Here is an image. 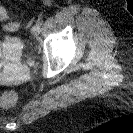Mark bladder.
<instances>
[{
	"label": "bladder",
	"mask_w": 133,
	"mask_h": 133,
	"mask_svg": "<svg viewBox=\"0 0 133 133\" xmlns=\"http://www.w3.org/2000/svg\"><path fill=\"white\" fill-rule=\"evenodd\" d=\"M0 45H2L0 41ZM16 54L14 52H11L10 50H5L0 46V62H14L16 61Z\"/></svg>",
	"instance_id": "bladder-1"
}]
</instances>
